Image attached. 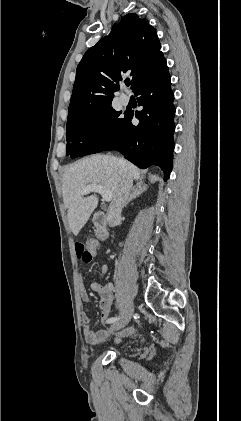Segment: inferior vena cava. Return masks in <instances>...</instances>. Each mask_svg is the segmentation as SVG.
<instances>
[{
    "instance_id": "obj_1",
    "label": "inferior vena cava",
    "mask_w": 241,
    "mask_h": 421,
    "mask_svg": "<svg viewBox=\"0 0 241 421\" xmlns=\"http://www.w3.org/2000/svg\"><path fill=\"white\" fill-rule=\"evenodd\" d=\"M118 162L121 166V182L119 189L112 202L110 203L109 209L107 211V220L110 226H115L116 222L120 219L122 209L127 199L129 198L133 184L132 178L126 171L125 161L123 159H119Z\"/></svg>"
}]
</instances>
